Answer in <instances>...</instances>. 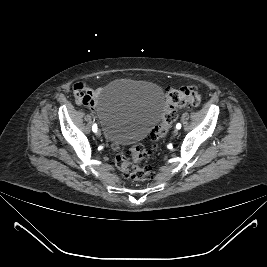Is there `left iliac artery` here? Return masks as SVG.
<instances>
[{
  "mask_svg": "<svg viewBox=\"0 0 267 267\" xmlns=\"http://www.w3.org/2000/svg\"><path fill=\"white\" fill-rule=\"evenodd\" d=\"M176 128H177V129H180V128H181V124L178 123V124L176 125Z\"/></svg>",
  "mask_w": 267,
  "mask_h": 267,
  "instance_id": "44dca946",
  "label": "left iliac artery"
}]
</instances>
